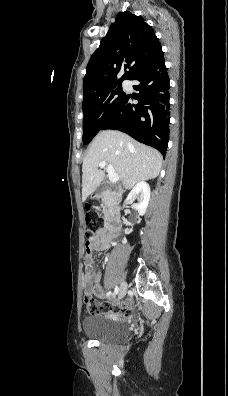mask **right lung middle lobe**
Returning a JSON list of instances; mask_svg holds the SVG:
<instances>
[{"instance_id": "1", "label": "right lung middle lobe", "mask_w": 228, "mask_h": 396, "mask_svg": "<svg viewBox=\"0 0 228 396\" xmlns=\"http://www.w3.org/2000/svg\"><path fill=\"white\" fill-rule=\"evenodd\" d=\"M126 93L116 83L84 96L83 143L88 144L124 101Z\"/></svg>"}]
</instances>
